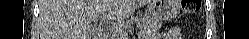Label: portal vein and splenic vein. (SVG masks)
Masks as SVG:
<instances>
[{"instance_id":"obj_1","label":"portal vein and splenic vein","mask_w":249,"mask_h":39,"mask_svg":"<svg viewBox=\"0 0 249 39\" xmlns=\"http://www.w3.org/2000/svg\"><path fill=\"white\" fill-rule=\"evenodd\" d=\"M115 32H122V29L121 28H118L117 30H115Z\"/></svg>"}]
</instances>
